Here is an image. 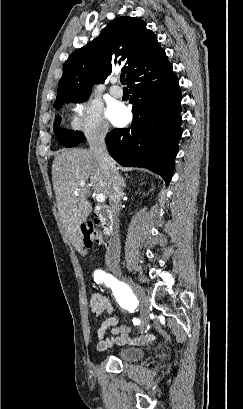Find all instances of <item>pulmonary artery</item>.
Listing matches in <instances>:
<instances>
[{"mask_svg":"<svg viewBox=\"0 0 243 409\" xmlns=\"http://www.w3.org/2000/svg\"><path fill=\"white\" fill-rule=\"evenodd\" d=\"M116 82H117V79H116L115 77L112 78V83H113L114 85H112V86L110 87L109 92H110V94H111L113 97H115V98H121L122 95H123V91H122V89H121L119 86L115 85Z\"/></svg>","mask_w":243,"mask_h":409,"instance_id":"e3ab8cb5","label":"pulmonary artery"}]
</instances>
